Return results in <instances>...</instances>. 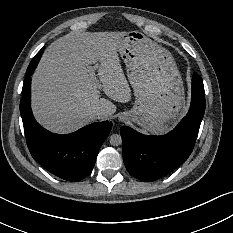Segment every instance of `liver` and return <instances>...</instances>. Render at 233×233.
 <instances>
[{"mask_svg": "<svg viewBox=\"0 0 233 233\" xmlns=\"http://www.w3.org/2000/svg\"><path fill=\"white\" fill-rule=\"evenodd\" d=\"M124 33L69 32L45 49L31 75V111L38 124L70 134L95 121L98 109L105 112L102 120L114 115L117 105L110 99H130L115 47ZM95 68L98 84L92 81ZM101 89L110 99L100 96Z\"/></svg>", "mask_w": 233, "mask_h": 233, "instance_id": "1", "label": "liver"}]
</instances>
